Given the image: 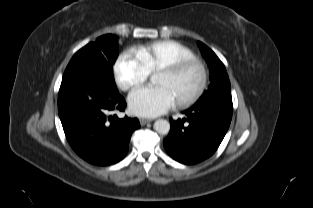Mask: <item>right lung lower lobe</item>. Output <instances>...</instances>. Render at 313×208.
Returning <instances> with one entry per match:
<instances>
[{"label":"right lung lower lobe","instance_id":"1","mask_svg":"<svg viewBox=\"0 0 313 208\" xmlns=\"http://www.w3.org/2000/svg\"><path fill=\"white\" fill-rule=\"evenodd\" d=\"M126 102L108 81L82 67L64 74L58 96V113L72 149L87 162L106 166L125 157L137 118L109 116L124 111Z\"/></svg>","mask_w":313,"mask_h":208}]
</instances>
